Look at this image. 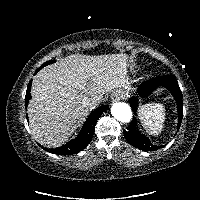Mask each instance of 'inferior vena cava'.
Returning a JSON list of instances; mask_svg holds the SVG:
<instances>
[{
	"label": "inferior vena cava",
	"instance_id": "1",
	"mask_svg": "<svg viewBox=\"0 0 200 200\" xmlns=\"http://www.w3.org/2000/svg\"><path fill=\"white\" fill-rule=\"evenodd\" d=\"M97 101L93 98H90L88 96H85L82 100V105L84 107H89V106H92L93 104H95Z\"/></svg>",
	"mask_w": 200,
	"mask_h": 200
}]
</instances>
